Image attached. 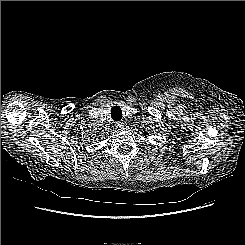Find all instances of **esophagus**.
Returning a JSON list of instances; mask_svg holds the SVG:
<instances>
[{"instance_id":"34e87169","label":"esophagus","mask_w":245,"mask_h":245,"mask_svg":"<svg viewBox=\"0 0 245 245\" xmlns=\"http://www.w3.org/2000/svg\"><path fill=\"white\" fill-rule=\"evenodd\" d=\"M115 126H116L117 128H122V127L124 126V123H123L122 121H116V122H115Z\"/></svg>"}]
</instances>
